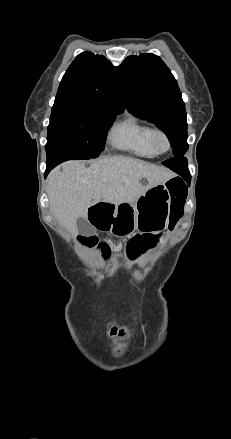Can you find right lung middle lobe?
Returning a JSON list of instances; mask_svg holds the SVG:
<instances>
[{"label": "right lung middle lobe", "mask_w": 231, "mask_h": 439, "mask_svg": "<svg viewBox=\"0 0 231 439\" xmlns=\"http://www.w3.org/2000/svg\"><path fill=\"white\" fill-rule=\"evenodd\" d=\"M121 112L123 109L94 106L52 108L45 146L47 162L98 157L108 129Z\"/></svg>", "instance_id": "obj_1"}]
</instances>
